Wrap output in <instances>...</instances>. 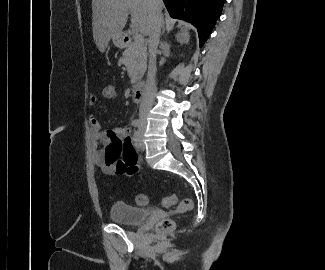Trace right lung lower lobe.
Here are the masks:
<instances>
[{
  "mask_svg": "<svg viewBox=\"0 0 325 270\" xmlns=\"http://www.w3.org/2000/svg\"><path fill=\"white\" fill-rule=\"evenodd\" d=\"M171 17L192 23L198 30L200 45L206 41L225 0H163Z\"/></svg>",
  "mask_w": 325,
  "mask_h": 270,
  "instance_id": "98d812e1",
  "label": "right lung lower lobe"
}]
</instances>
